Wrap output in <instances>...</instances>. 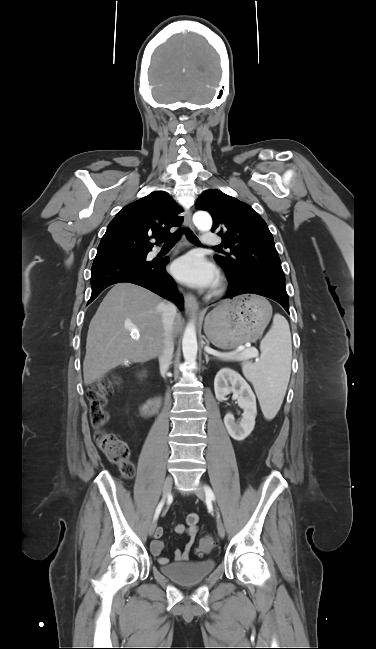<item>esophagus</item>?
Wrapping results in <instances>:
<instances>
[{
    "mask_svg": "<svg viewBox=\"0 0 376 649\" xmlns=\"http://www.w3.org/2000/svg\"><path fill=\"white\" fill-rule=\"evenodd\" d=\"M184 226L187 229L194 230V226L191 219V211L188 210L184 218ZM185 309L187 313H193L198 310L197 300L194 295L187 294L185 297Z\"/></svg>",
    "mask_w": 376,
    "mask_h": 649,
    "instance_id": "esophagus-1",
    "label": "esophagus"
}]
</instances>
